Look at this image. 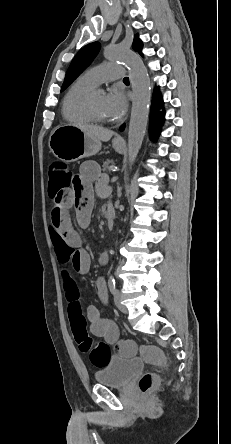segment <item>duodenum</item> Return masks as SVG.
Returning <instances> with one entry per match:
<instances>
[{"label":"duodenum","instance_id":"1","mask_svg":"<svg viewBox=\"0 0 231 444\" xmlns=\"http://www.w3.org/2000/svg\"><path fill=\"white\" fill-rule=\"evenodd\" d=\"M106 217H107V227H108V229L111 230L114 227V223H115V212L112 208H109L107 210Z\"/></svg>","mask_w":231,"mask_h":444}]
</instances>
